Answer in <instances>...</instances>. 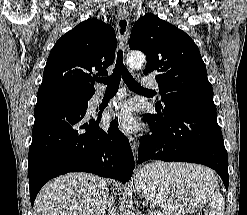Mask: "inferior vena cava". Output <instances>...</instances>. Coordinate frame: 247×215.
<instances>
[{
	"instance_id": "inferior-vena-cava-1",
	"label": "inferior vena cava",
	"mask_w": 247,
	"mask_h": 215,
	"mask_svg": "<svg viewBox=\"0 0 247 215\" xmlns=\"http://www.w3.org/2000/svg\"><path fill=\"white\" fill-rule=\"evenodd\" d=\"M112 203H113V198H109V201H107L106 205L108 206V215H116L115 211L112 207Z\"/></svg>"
}]
</instances>
